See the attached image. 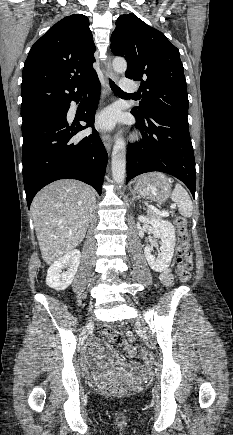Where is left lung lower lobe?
<instances>
[{
    "label": "left lung lower lobe",
    "mask_w": 233,
    "mask_h": 435,
    "mask_svg": "<svg viewBox=\"0 0 233 435\" xmlns=\"http://www.w3.org/2000/svg\"><path fill=\"white\" fill-rule=\"evenodd\" d=\"M134 116L143 139L128 145L126 184L139 174L159 171L181 180L194 197L196 170L188 119Z\"/></svg>",
    "instance_id": "left-lung-lower-lobe-1"
}]
</instances>
